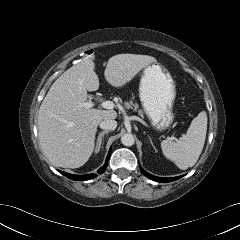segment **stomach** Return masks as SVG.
<instances>
[{"label": "stomach", "instance_id": "0dacf381", "mask_svg": "<svg viewBox=\"0 0 240 240\" xmlns=\"http://www.w3.org/2000/svg\"><path fill=\"white\" fill-rule=\"evenodd\" d=\"M139 97L154 128L165 130L172 124L176 85L164 66L155 62L145 67L140 80Z\"/></svg>", "mask_w": 240, "mask_h": 240}]
</instances>
